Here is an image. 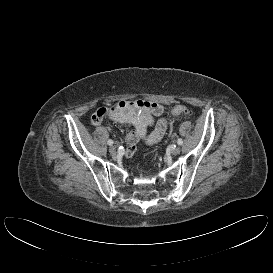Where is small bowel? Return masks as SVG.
<instances>
[{
  "mask_svg": "<svg viewBox=\"0 0 273 273\" xmlns=\"http://www.w3.org/2000/svg\"><path fill=\"white\" fill-rule=\"evenodd\" d=\"M163 106L156 102L146 100L119 101L111 106L98 109L91 117L94 126L101 124L103 119L108 118L115 122L132 125V129L126 136L128 146L125 151L127 157H131L137 142L143 140L149 145L160 141L165 135L168 122L162 118ZM152 131L148 133V128Z\"/></svg>",
  "mask_w": 273,
  "mask_h": 273,
  "instance_id": "1",
  "label": "small bowel"
}]
</instances>
